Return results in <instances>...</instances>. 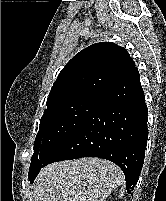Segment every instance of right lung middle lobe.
<instances>
[{
	"mask_svg": "<svg viewBox=\"0 0 166 201\" xmlns=\"http://www.w3.org/2000/svg\"><path fill=\"white\" fill-rule=\"evenodd\" d=\"M103 97L83 95L61 101L44 111L34 142L28 178L41 169L58 145L97 108Z\"/></svg>",
	"mask_w": 166,
	"mask_h": 201,
	"instance_id": "1",
	"label": "right lung middle lobe"
}]
</instances>
